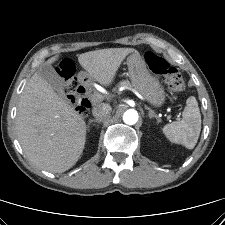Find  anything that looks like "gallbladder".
Masks as SVG:
<instances>
[{
  "label": "gallbladder",
  "instance_id": "bac80fb5",
  "mask_svg": "<svg viewBox=\"0 0 225 225\" xmlns=\"http://www.w3.org/2000/svg\"><path fill=\"white\" fill-rule=\"evenodd\" d=\"M37 72L54 90L59 93L63 92L62 79L51 65L44 63L38 68Z\"/></svg>",
  "mask_w": 225,
  "mask_h": 225
}]
</instances>
